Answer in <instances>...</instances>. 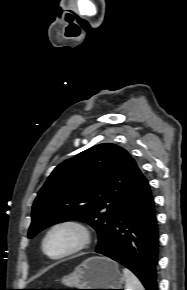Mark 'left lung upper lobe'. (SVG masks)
I'll return each mask as SVG.
<instances>
[{
  "label": "left lung upper lobe",
  "mask_w": 187,
  "mask_h": 290,
  "mask_svg": "<svg viewBox=\"0 0 187 290\" xmlns=\"http://www.w3.org/2000/svg\"><path fill=\"white\" fill-rule=\"evenodd\" d=\"M144 179L122 147L93 146L51 173L34 201L28 237L53 224L78 220L98 232V245H102L122 202Z\"/></svg>",
  "instance_id": "obj_1"
}]
</instances>
